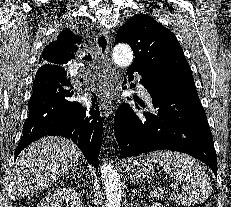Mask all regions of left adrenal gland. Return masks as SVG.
I'll return each instance as SVG.
<instances>
[{"label": "left adrenal gland", "mask_w": 231, "mask_h": 207, "mask_svg": "<svg viewBox=\"0 0 231 207\" xmlns=\"http://www.w3.org/2000/svg\"><path fill=\"white\" fill-rule=\"evenodd\" d=\"M137 192H138L137 188H134V189H133V194H132V196H133V197L136 196Z\"/></svg>", "instance_id": "obj_1"}]
</instances>
